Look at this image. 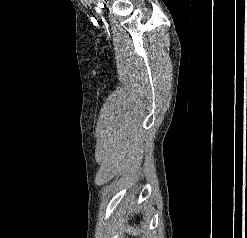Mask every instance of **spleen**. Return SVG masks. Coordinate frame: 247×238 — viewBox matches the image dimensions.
<instances>
[{"label":"spleen","instance_id":"obj_1","mask_svg":"<svg viewBox=\"0 0 247 238\" xmlns=\"http://www.w3.org/2000/svg\"><path fill=\"white\" fill-rule=\"evenodd\" d=\"M126 231H128L132 235H138L139 234V231L137 229H134V228H128Z\"/></svg>","mask_w":247,"mask_h":238}]
</instances>
